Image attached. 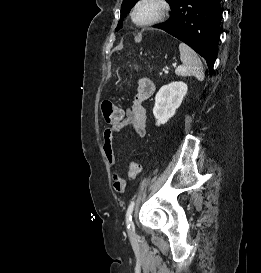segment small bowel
<instances>
[{
    "mask_svg": "<svg viewBox=\"0 0 261 273\" xmlns=\"http://www.w3.org/2000/svg\"><path fill=\"white\" fill-rule=\"evenodd\" d=\"M156 87L149 78H141L138 81L137 93L130 108L124 111L123 118L115 124H112L104 131V153L110 166L116 165V156L113 148L114 135L125 127H129L138 137H144L147 126V113L145 102L155 93ZM113 187L116 192L122 193L116 188V183L122 177L114 172L112 175ZM125 189V188H124Z\"/></svg>",
    "mask_w": 261,
    "mask_h": 273,
    "instance_id": "obj_1",
    "label": "small bowel"
}]
</instances>
